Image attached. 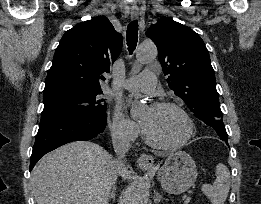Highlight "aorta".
Listing matches in <instances>:
<instances>
[{
	"label": "aorta",
	"instance_id": "obj_1",
	"mask_svg": "<svg viewBox=\"0 0 261 204\" xmlns=\"http://www.w3.org/2000/svg\"><path fill=\"white\" fill-rule=\"evenodd\" d=\"M157 56V48L153 43H143L136 51V62L145 64ZM142 104L136 102L132 105L130 113L133 117L138 116L142 111ZM144 183L141 179L132 182L128 193V204H143Z\"/></svg>",
	"mask_w": 261,
	"mask_h": 204
}]
</instances>
